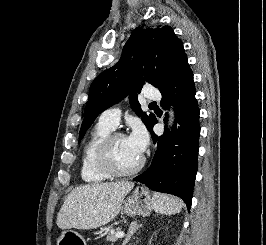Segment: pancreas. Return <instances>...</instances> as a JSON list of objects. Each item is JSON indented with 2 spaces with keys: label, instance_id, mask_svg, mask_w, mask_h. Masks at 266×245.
Instances as JSON below:
<instances>
[{
  "label": "pancreas",
  "instance_id": "1",
  "mask_svg": "<svg viewBox=\"0 0 266 245\" xmlns=\"http://www.w3.org/2000/svg\"><path fill=\"white\" fill-rule=\"evenodd\" d=\"M117 233H122L121 229H111V231H108L106 235V241H110V243H116V241H118V237H116Z\"/></svg>",
  "mask_w": 266,
  "mask_h": 245
}]
</instances>
